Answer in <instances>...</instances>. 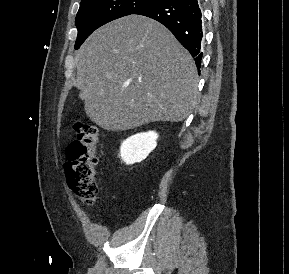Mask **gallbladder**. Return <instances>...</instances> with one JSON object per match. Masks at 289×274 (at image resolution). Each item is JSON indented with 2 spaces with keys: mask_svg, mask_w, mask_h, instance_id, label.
<instances>
[{
  "mask_svg": "<svg viewBox=\"0 0 289 274\" xmlns=\"http://www.w3.org/2000/svg\"><path fill=\"white\" fill-rule=\"evenodd\" d=\"M79 97H80L81 99H84V96H83V93H82V92H80Z\"/></svg>",
  "mask_w": 289,
  "mask_h": 274,
  "instance_id": "1",
  "label": "gallbladder"
}]
</instances>
